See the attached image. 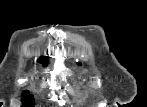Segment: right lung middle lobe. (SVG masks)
Returning a JSON list of instances; mask_svg holds the SVG:
<instances>
[{
  "instance_id": "dd1d6c3e",
  "label": "right lung middle lobe",
  "mask_w": 147,
  "mask_h": 107,
  "mask_svg": "<svg viewBox=\"0 0 147 107\" xmlns=\"http://www.w3.org/2000/svg\"><path fill=\"white\" fill-rule=\"evenodd\" d=\"M23 102L24 106H32L33 96L29 94V92L23 93Z\"/></svg>"
}]
</instances>
